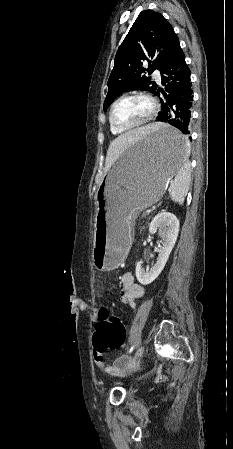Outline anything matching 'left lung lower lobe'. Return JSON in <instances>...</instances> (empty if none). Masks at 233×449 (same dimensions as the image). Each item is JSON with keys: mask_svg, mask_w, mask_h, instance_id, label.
Masks as SVG:
<instances>
[{"mask_svg": "<svg viewBox=\"0 0 233 449\" xmlns=\"http://www.w3.org/2000/svg\"><path fill=\"white\" fill-rule=\"evenodd\" d=\"M190 69L185 62L182 49L176 53L172 60L161 70L162 84L166 86L162 91L165 101L161 99V111L158 113L157 121L166 122L179 130L181 138L175 134L166 133L161 136L162 143L171 150L183 149L189 140L191 115H192V88ZM156 89L155 95H160Z\"/></svg>", "mask_w": 233, "mask_h": 449, "instance_id": "left-lung-lower-lobe-1", "label": "left lung lower lobe"}]
</instances>
